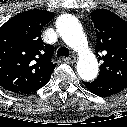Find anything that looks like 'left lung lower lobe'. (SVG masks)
<instances>
[{
    "mask_svg": "<svg viewBox=\"0 0 127 127\" xmlns=\"http://www.w3.org/2000/svg\"><path fill=\"white\" fill-rule=\"evenodd\" d=\"M83 84L89 91L99 96L113 95L125 88L122 84L102 76H98L93 82H83Z\"/></svg>",
    "mask_w": 127,
    "mask_h": 127,
    "instance_id": "obj_1",
    "label": "left lung lower lobe"
}]
</instances>
